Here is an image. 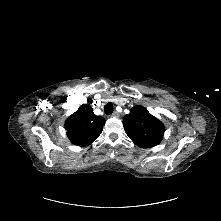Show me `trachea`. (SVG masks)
Instances as JSON below:
<instances>
[{"mask_svg":"<svg viewBox=\"0 0 221 221\" xmlns=\"http://www.w3.org/2000/svg\"><path fill=\"white\" fill-rule=\"evenodd\" d=\"M104 112L106 115H110L113 113V105L111 103H108L104 107Z\"/></svg>","mask_w":221,"mask_h":221,"instance_id":"obj_1","label":"trachea"}]
</instances>
